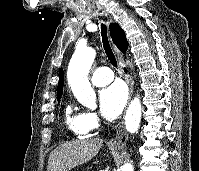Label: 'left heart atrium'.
<instances>
[{
	"label": "left heart atrium",
	"instance_id": "obj_1",
	"mask_svg": "<svg viewBox=\"0 0 199 171\" xmlns=\"http://www.w3.org/2000/svg\"><path fill=\"white\" fill-rule=\"evenodd\" d=\"M99 99L102 115L108 120H113L122 112L127 92L122 83L115 82L100 92Z\"/></svg>",
	"mask_w": 199,
	"mask_h": 171
}]
</instances>
